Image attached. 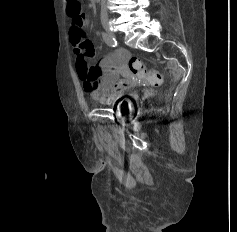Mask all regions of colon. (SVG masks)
<instances>
[{
    "instance_id": "1",
    "label": "colon",
    "mask_w": 237,
    "mask_h": 232,
    "mask_svg": "<svg viewBox=\"0 0 237 232\" xmlns=\"http://www.w3.org/2000/svg\"><path fill=\"white\" fill-rule=\"evenodd\" d=\"M67 10L74 22L77 24L82 23V8L79 0H69ZM128 68L133 75L138 76L151 84L158 85L161 82L160 73L154 69L146 68L143 61L139 58H131L128 62Z\"/></svg>"
}]
</instances>
